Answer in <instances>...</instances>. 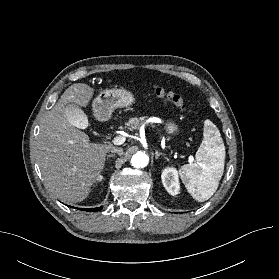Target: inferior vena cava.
I'll return each instance as SVG.
<instances>
[{"label":"inferior vena cava","mask_w":279,"mask_h":279,"mask_svg":"<svg viewBox=\"0 0 279 279\" xmlns=\"http://www.w3.org/2000/svg\"><path fill=\"white\" fill-rule=\"evenodd\" d=\"M110 152L116 153V154H118L119 156L123 155V153H124L122 148H116V147H113V148L110 150Z\"/></svg>","instance_id":"602c4592"}]
</instances>
